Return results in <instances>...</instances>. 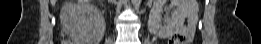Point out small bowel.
Masks as SVG:
<instances>
[{
  "label": "small bowel",
  "mask_w": 261,
  "mask_h": 44,
  "mask_svg": "<svg viewBox=\"0 0 261 44\" xmlns=\"http://www.w3.org/2000/svg\"><path fill=\"white\" fill-rule=\"evenodd\" d=\"M163 5V1L158 0L151 9L149 24L152 31L160 38L169 40L182 36L185 39L184 44H189L193 39L198 21L197 3L195 1L174 0L168 6L164 24L161 25ZM185 21H187V24H185Z\"/></svg>",
  "instance_id": "small-bowel-1"
}]
</instances>
